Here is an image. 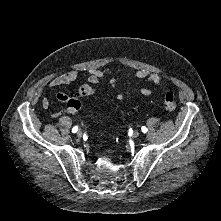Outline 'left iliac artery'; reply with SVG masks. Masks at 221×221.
Segmentation results:
<instances>
[{
    "instance_id": "44dca946",
    "label": "left iliac artery",
    "mask_w": 221,
    "mask_h": 221,
    "mask_svg": "<svg viewBox=\"0 0 221 221\" xmlns=\"http://www.w3.org/2000/svg\"><path fill=\"white\" fill-rule=\"evenodd\" d=\"M141 130L143 133H146L148 131V129L146 127H142Z\"/></svg>"
}]
</instances>
